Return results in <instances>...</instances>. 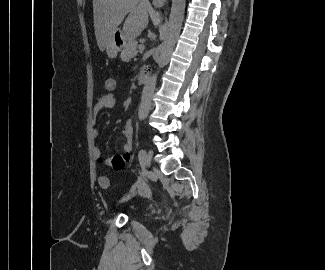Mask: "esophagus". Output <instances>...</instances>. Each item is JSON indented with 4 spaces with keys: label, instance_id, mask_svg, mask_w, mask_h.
<instances>
[{
    "label": "esophagus",
    "instance_id": "esophagus-1",
    "mask_svg": "<svg viewBox=\"0 0 325 270\" xmlns=\"http://www.w3.org/2000/svg\"><path fill=\"white\" fill-rule=\"evenodd\" d=\"M166 0H153V4L156 6V7H162L164 5Z\"/></svg>",
    "mask_w": 325,
    "mask_h": 270
}]
</instances>
